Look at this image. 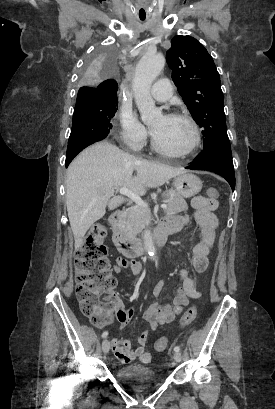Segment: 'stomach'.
<instances>
[{
  "label": "stomach",
  "mask_w": 275,
  "mask_h": 409,
  "mask_svg": "<svg viewBox=\"0 0 275 409\" xmlns=\"http://www.w3.org/2000/svg\"><path fill=\"white\" fill-rule=\"evenodd\" d=\"M174 186L178 194H181L184 198H190V196H194V194L200 192L202 182L196 174H192V172H184V174H178V176H175Z\"/></svg>",
  "instance_id": "obj_1"
}]
</instances>
